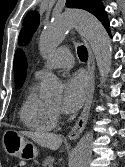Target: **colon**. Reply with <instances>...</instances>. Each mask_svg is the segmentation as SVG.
I'll list each match as a JSON object with an SVG mask.
<instances>
[{"label": "colon", "instance_id": "5ec220e1", "mask_svg": "<svg viewBox=\"0 0 125 167\" xmlns=\"http://www.w3.org/2000/svg\"><path fill=\"white\" fill-rule=\"evenodd\" d=\"M24 166H25L24 163H17L13 167H24Z\"/></svg>", "mask_w": 125, "mask_h": 167}]
</instances>
